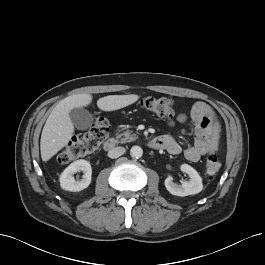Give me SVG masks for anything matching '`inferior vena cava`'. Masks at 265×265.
<instances>
[{
	"label": "inferior vena cava",
	"instance_id": "inferior-vena-cava-1",
	"mask_svg": "<svg viewBox=\"0 0 265 265\" xmlns=\"http://www.w3.org/2000/svg\"><path fill=\"white\" fill-rule=\"evenodd\" d=\"M125 153L124 147H115L108 152V156L110 158H118L119 156L123 155Z\"/></svg>",
	"mask_w": 265,
	"mask_h": 265
}]
</instances>
